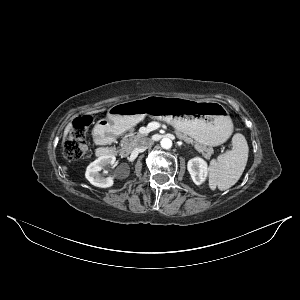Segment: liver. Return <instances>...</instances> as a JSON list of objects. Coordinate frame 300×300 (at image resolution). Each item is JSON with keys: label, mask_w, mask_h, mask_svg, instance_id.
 Here are the masks:
<instances>
[{"label": "liver", "mask_w": 300, "mask_h": 300, "mask_svg": "<svg viewBox=\"0 0 300 300\" xmlns=\"http://www.w3.org/2000/svg\"><path fill=\"white\" fill-rule=\"evenodd\" d=\"M104 110H105V109H102V110H96V111L89 112V113H87V114H88V115H91V114H94V113L102 112V111H104ZM71 129H72V124L69 123V124L66 126L65 130H64L63 140H62V145H63L64 142L66 141L67 135H68V133L70 132Z\"/></svg>", "instance_id": "1"}]
</instances>
